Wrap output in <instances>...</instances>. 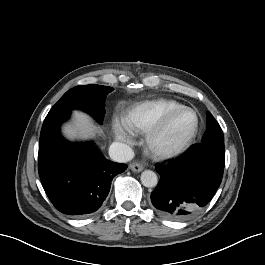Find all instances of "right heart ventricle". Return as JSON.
Segmentation results:
<instances>
[{
  "label": "right heart ventricle",
  "instance_id": "1",
  "mask_svg": "<svg viewBox=\"0 0 265 265\" xmlns=\"http://www.w3.org/2000/svg\"><path fill=\"white\" fill-rule=\"evenodd\" d=\"M183 106L176 100L156 99L140 103L121 118L124 128L133 134L146 133L166 112Z\"/></svg>",
  "mask_w": 265,
  "mask_h": 265
}]
</instances>
